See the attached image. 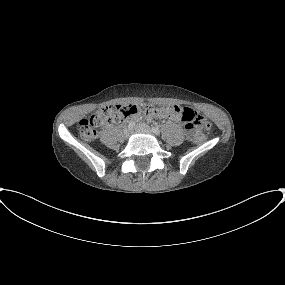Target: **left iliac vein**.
<instances>
[{
	"mask_svg": "<svg viewBox=\"0 0 285 285\" xmlns=\"http://www.w3.org/2000/svg\"><path fill=\"white\" fill-rule=\"evenodd\" d=\"M134 130L139 131V132H147V133L151 132L150 127L148 125H145V124L136 125Z\"/></svg>",
	"mask_w": 285,
	"mask_h": 285,
	"instance_id": "obj_1",
	"label": "left iliac vein"
}]
</instances>
